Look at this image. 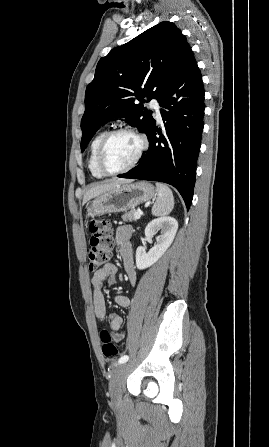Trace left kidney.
I'll return each instance as SVG.
<instances>
[{
  "label": "left kidney",
  "instance_id": "obj_1",
  "mask_svg": "<svg viewBox=\"0 0 269 447\" xmlns=\"http://www.w3.org/2000/svg\"><path fill=\"white\" fill-rule=\"evenodd\" d=\"M161 235H156L155 245L149 249L148 253L146 247L139 245L136 249V265L138 269H145V267H150L155 261H158L159 257H162L169 245H171L176 231L178 229V222L175 218H157V220H152L145 227L146 237H152L153 233L159 231Z\"/></svg>",
  "mask_w": 269,
  "mask_h": 447
}]
</instances>
